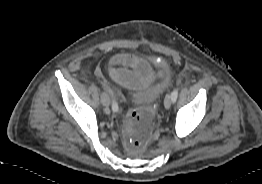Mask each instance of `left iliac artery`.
<instances>
[{"label":"left iliac artery","instance_id":"left-iliac-artery-1","mask_svg":"<svg viewBox=\"0 0 262 184\" xmlns=\"http://www.w3.org/2000/svg\"><path fill=\"white\" fill-rule=\"evenodd\" d=\"M171 97H172V102H175L178 97V89L173 90Z\"/></svg>","mask_w":262,"mask_h":184}]
</instances>
